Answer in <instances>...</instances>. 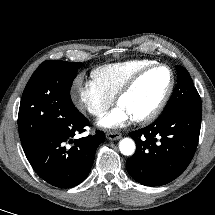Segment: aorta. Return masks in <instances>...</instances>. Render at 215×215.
Here are the masks:
<instances>
[{"mask_svg": "<svg viewBox=\"0 0 215 215\" xmlns=\"http://www.w3.org/2000/svg\"><path fill=\"white\" fill-rule=\"evenodd\" d=\"M119 149L123 155H132L135 151V143L130 138H124L119 142Z\"/></svg>", "mask_w": 215, "mask_h": 215, "instance_id": "aorta-1", "label": "aorta"}]
</instances>
